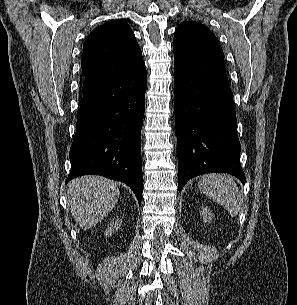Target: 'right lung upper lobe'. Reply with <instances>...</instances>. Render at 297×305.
Returning <instances> with one entry per match:
<instances>
[{"label":"right lung upper lobe","mask_w":297,"mask_h":305,"mask_svg":"<svg viewBox=\"0 0 297 305\" xmlns=\"http://www.w3.org/2000/svg\"><path fill=\"white\" fill-rule=\"evenodd\" d=\"M144 61L135 35L123 21L95 28L83 46V94L138 70Z\"/></svg>","instance_id":"cb5924a9"}]
</instances>
